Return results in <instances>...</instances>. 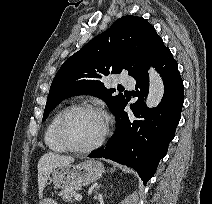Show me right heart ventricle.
<instances>
[{"instance_id": "right-heart-ventricle-1", "label": "right heart ventricle", "mask_w": 212, "mask_h": 204, "mask_svg": "<svg viewBox=\"0 0 212 204\" xmlns=\"http://www.w3.org/2000/svg\"><path fill=\"white\" fill-rule=\"evenodd\" d=\"M64 110V109H63ZM63 110H59L56 112L52 119L50 120L48 126L46 127L45 134H44V140L47 145V147L58 153H62L67 151L62 144L59 142L57 135H56V124L58 121V118L60 114L63 112Z\"/></svg>"}]
</instances>
